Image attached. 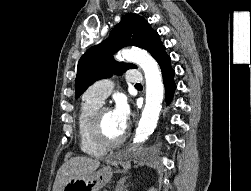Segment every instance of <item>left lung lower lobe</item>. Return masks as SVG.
I'll return each mask as SVG.
<instances>
[{"label":"left lung lower lobe","instance_id":"0a47b994","mask_svg":"<svg viewBox=\"0 0 251 191\" xmlns=\"http://www.w3.org/2000/svg\"><path fill=\"white\" fill-rule=\"evenodd\" d=\"M156 60L160 65L163 75V82L166 91V101L169 102L172 100L174 91L176 89V84L173 79L175 72L171 67V59L169 55L164 51L163 53L160 54V56Z\"/></svg>","mask_w":251,"mask_h":191}]
</instances>
